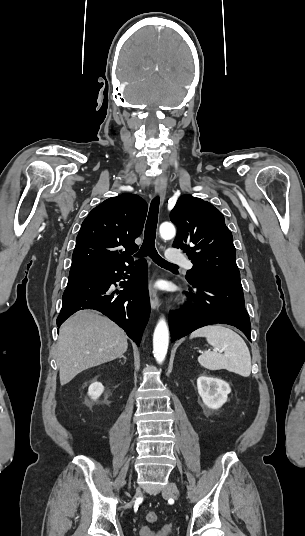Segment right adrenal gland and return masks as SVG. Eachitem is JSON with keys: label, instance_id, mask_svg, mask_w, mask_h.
I'll list each match as a JSON object with an SVG mask.
<instances>
[{"label": "right adrenal gland", "instance_id": "right-adrenal-gland-1", "mask_svg": "<svg viewBox=\"0 0 305 536\" xmlns=\"http://www.w3.org/2000/svg\"><path fill=\"white\" fill-rule=\"evenodd\" d=\"M121 358H124V360H127V358H125V356H121Z\"/></svg>", "mask_w": 305, "mask_h": 536}]
</instances>
